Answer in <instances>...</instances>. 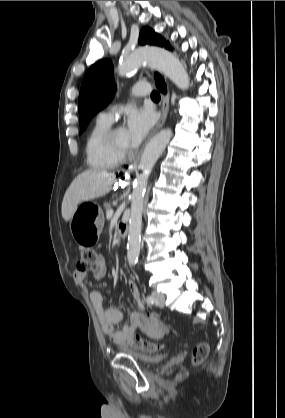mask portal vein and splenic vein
Returning <instances> with one entry per match:
<instances>
[{
    "instance_id": "1",
    "label": "portal vein and splenic vein",
    "mask_w": 285,
    "mask_h": 418,
    "mask_svg": "<svg viewBox=\"0 0 285 418\" xmlns=\"http://www.w3.org/2000/svg\"><path fill=\"white\" fill-rule=\"evenodd\" d=\"M113 214H114L113 209H110L109 211H107V213H106V217H107V219H111V218H112V216H113Z\"/></svg>"
}]
</instances>
